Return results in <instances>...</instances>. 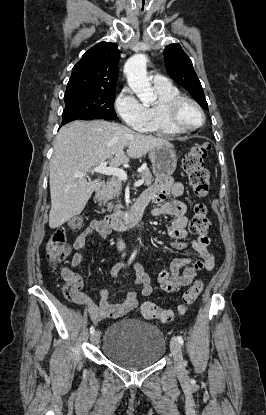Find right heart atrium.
<instances>
[{"mask_svg":"<svg viewBox=\"0 0 266 415\" xmlns=\"http://www.w3.org/2000/svg\"><path fill=\"white\" fill-rule=\"evenodd\" d=\"M115 108L130 127L140 130L147 122V108L135 97L133 92L126 88L118 95Z\"/></svg>","mask_w":266,"mask_h":415,"instance_id":"1","label":"right heart atrium"}]
</instances>
